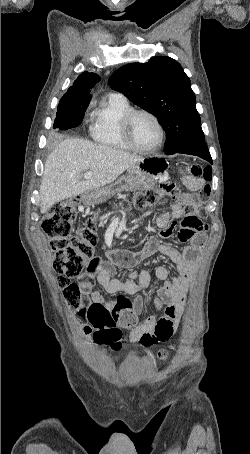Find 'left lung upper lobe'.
<instances>
[{
	"instance_id": "5c2ea615",
	"label": "left lung upper lobe",
	"mask_w": 250,
	"mask_h": 454,
	"mask_svg": "<svg viewBox=\"0 0 250 454\" xmlns=\"http://www.w3.org/2000/svg\"><path fill=\"white\" fill-rule=\"evenodd\" d=\"M109 85L159 120L166 132V154L204 141L190 79L174 59L156 56L127 64L111 75Z\"/></svg>"
}]
</instances>
